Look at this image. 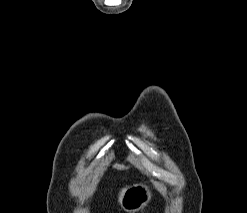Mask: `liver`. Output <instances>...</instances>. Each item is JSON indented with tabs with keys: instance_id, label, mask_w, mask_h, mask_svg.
I'll return each instance as SVG.
<instances>
[{
	"instance_id": "6515ba94",
	"label": "liver",
	"mask_w": 247,
	"mask_h": 213,
	"mask_svg": "<svg viewBox=\"0 0 247 213\" xmlns=\"http://www.w3.org/2000/svg\"><path fill=\"white\" fill-rule=\"evenodd\" d=\"M125 190H126L125 188L121 190L120 195H119V201H120L121 196H122V194L124 193Z\"/></svg>"
}]
</instances>
